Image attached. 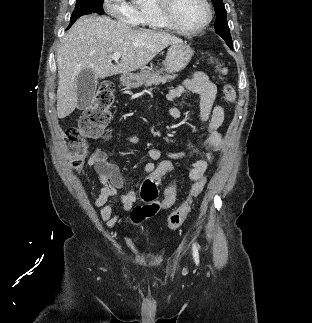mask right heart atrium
<instances>
[{"label":"right heart atrium","instance_id":"right-heart-atrium-1","mask_svg":"<svg viewBox=\"0 0 312 323\" xmlns=\"http://www.w3.org/2000/svg\"><path fill=\"white\" fill-rule=\"evenodd\" d=\"M105 7L108 13H115L116 17H124L125 22H136L139 17V10L135 6H128V0H105Z\"/></svg>","mask_w":312,"mask_h":323}]
</instances>
